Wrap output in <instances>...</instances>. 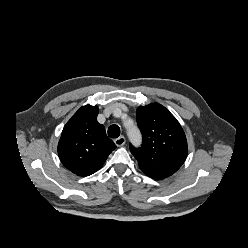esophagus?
Returning a JSON list of instances; mask_svg holds the SVG:
<instances>
[{"label":"esophagus","instance_id":"1","mask_svg":"<svg viewBox=\"0 0 248 248\" xmlns=\"http://www.w3.org/2000/svg\"><path fill=\"white\" fill-rule=\"evenodd\" d=\"M125 142H126V138L124 136H121V137H119V138H117V139L114 140V143L118 147L123 146L125 144Z\"/></svg>","mask_w":248,"mask_h":248}]
</instances>
